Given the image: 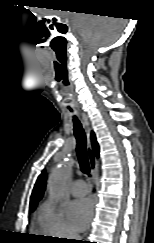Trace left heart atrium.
Returning a JSON list of instances; mask_svg holds the SVG:
<instances>
[{"label": "left heart atrium", "instance_id": "1", "mask_svg": "<svg viewBox=\"0 0 154 243\" xmlns=\"http://www.w3.org/2000/svg\"><path fill=\"white\" fill-rule=\"evenodd\" d=\"M92 214L93 205L88 198L73 201L68 209L69 220L76 231H82L88 226Z\"/></svg>", "mask_w": 154, "mask_h": 243}]
</instances>
